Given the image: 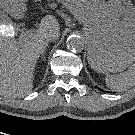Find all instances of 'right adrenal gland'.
Here are the masks:
<instances>
[{
    "instance_id": "obj_1",
    "label": "right adrenal gland",
    "mask_w": 135,
    "mask_h": 135,
    "mask_svg": "<svg viewBox=\"0 0 135 135\" xmlns=\"http://www.w3.org/2000/svg\"><path fill=\"white\" fill-rule=\"evenodd\" d=\"M41 58L45 59V49H44V51L41 54Z\"/></svg>"
}]
</instances>
